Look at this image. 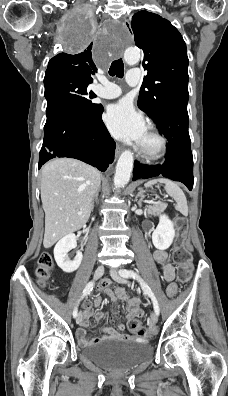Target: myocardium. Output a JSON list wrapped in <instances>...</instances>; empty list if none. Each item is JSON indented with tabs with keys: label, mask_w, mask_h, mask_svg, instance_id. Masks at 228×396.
Masks as SVG:
<instances>
[{
	"label": "myocardium",
	"mask_w": 228,
	"mask_h": 396,
	"mask_svg": "<svg viewBox=\"0 0 228 396\" xmlns=\"http://www.w3.org/2000/svg\"><path fill=\"white\" fill-rule=\"evenodd\" d=\"M147 133L155 138L156 146L152 149H147L140 145L138 149L139 154L141 157L150 161L159 160L165 155L167 140L157 129L153 127H150Z\"/></svg>",
	"instance_id": "myocardium-1"
}]
</instances>
